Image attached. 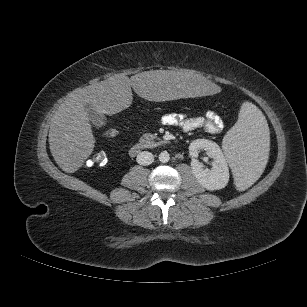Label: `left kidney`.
Segmentation results:
<instances>
[{"instance_id": "5707ae66", "label": "left kidney", "mask_w": 307, "mask_h": 307, "mask_svg": "<svg viewBox=\"0 0 307 307\" xmlns=\"http://www.w3.org/2000/svg\"><path fill=\"white\" fill-rule=\"evenodd\" d=\"M200 150L206 151L207 155L213 159L211 169H204L203 164L196 159ZM189 153L192 157V172L204 188L219 190L228 184L229 168L218 144L207 139H197L190 144Z\"/></svg>"}]
</instances>
